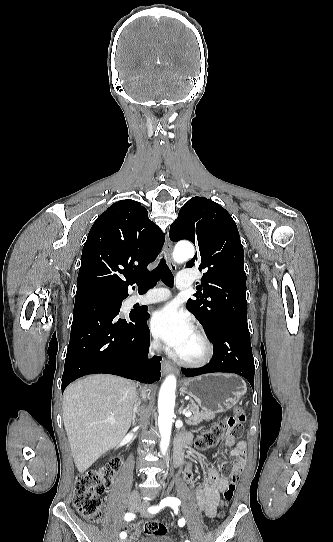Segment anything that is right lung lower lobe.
<instances>
[{"mask_svg":"<svg viewBox=\"0 0 333 542\" xmlns=\"http://www.w3.org/2000/svg\"><path fill=\"white\" fill-rule=\"evenodd\" d=\"M110 260L111 254L102 248L91 249L82 256V261L93 266ZM127 296L128 292L76 295L62 392L69 383L88 374H115L142 383L160 379L161 357L147 359L150 334L146 307L130 313L127 318L118 317Z\"/></svg>","mask_w":333,"mask_h":542,"instance_id":"right-lung-lower-lobe-1","label":"right lung lower lobe"}]
</instances>
